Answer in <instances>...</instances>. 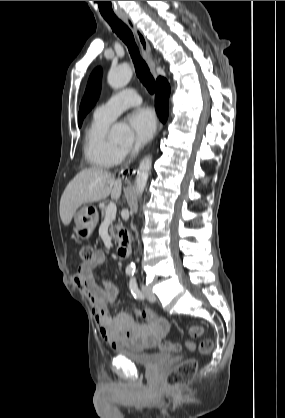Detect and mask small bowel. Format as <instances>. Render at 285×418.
Here are the masks:
<instances>
[{
  "label": "small bowel",
  "mask_w": 285,
  "mask_h": 418,
  "mask_svg": "<svg viewBox=\"0 0 285 418\" xmlns=\"http://www.w3.org/2000/svg\"><path fill=\"white\" fill-rule=\"evenodd\" d=\"M104 263L105 256L99 252L94 262L81 264L74 274L75 283L84 290L91 303L100 336L115 349L127 347L143 350L157 347L170 332L171 325L149 308L136 310L143 322L136 320L127 311L110 313L108 304L114 303L118 294L105 280L99 283L95 274V269ZM187 349L195 351L196 344L188 341Z\"/></svg>",
  "instance_id": "obj_1"
}]
</instances>
